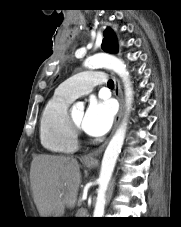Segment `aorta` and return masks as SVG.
<instances>
[{"instance_id": "obj_1", "label": "aorta", "mask_w": 181, "mask_h": 227, "mask_svg": "<svg viewBox=\"0 0 181 227\" xmlns=\"http://www.w3.org/2000/svg\"><path fill=\"white\" fill-rule=\"evenodd\" d=\"M84 66L90 69L106 67L113 70L122 78L125 87L126 115L105 150L98 179L99 188L97 190V199L93 217H103L106 203V190L125 139L127 116L130 112L133 100L132 88L126 65L115 56L104 53L96 54L89 57L84 62ZM78 106H80V104Z\"/></svg>"}]
</instances>
